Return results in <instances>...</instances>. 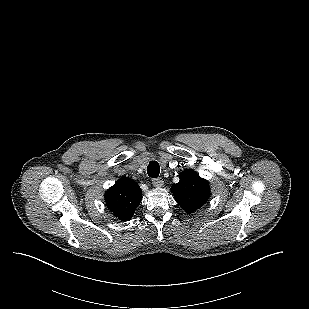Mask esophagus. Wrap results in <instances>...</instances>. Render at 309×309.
Returning <instances> with one entry per match:
<instances>
[{
  "label": "esophagus",
  "instance_id": "34e87169",
  "mask_svg": "<svg viewBox=\"0 0 309 309\" xmlns=\"http://www.w3.org/2000/svg\"><path fill=\"white\" fill-rule=\"evenodd\" d=\"M152 184L154 187H162L164 185V182L161 178H153L152 179Z\"/></svg>",
  "mask_w": 309,
  "mask_h": 309
}]
</instances>
